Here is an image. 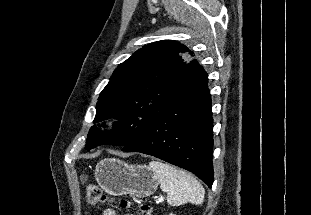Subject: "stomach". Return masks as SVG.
<instances>
[{
	"label": "stomach",
	"instance_id": "0dacf381",
	"mask_svg": "<svg viewBox=\"0 0 311 215\" xmlns=\"http://www.w3.org/2000/svg\"><path fill=\"white\" fill-rule=\"evenodd\" d=\"M95 177L102 189L113 196L129 194L137 198L152 195L159 184L156 174L146 165H129L119 159L101 160Z\"/></svg>",
	"mask_w": 311,
	"mask_h": 215
}]
</instances>
